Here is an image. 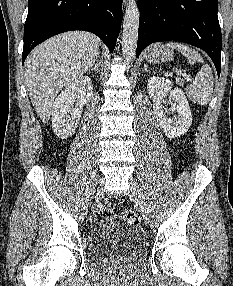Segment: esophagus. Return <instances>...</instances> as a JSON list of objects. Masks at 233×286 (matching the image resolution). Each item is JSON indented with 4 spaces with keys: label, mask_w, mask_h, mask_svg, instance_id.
I'll use <instances>...</instances> for the list:
<instances>
[{
    "label": "esophagus",
    "mask_w": 233,
    "mask_h": 286,
    "mask_svg": "<svg viewBox=\"0 0 233 286\" xmlns=\"http://www.w3.org/2000/svg\"><path fill=\"white\" fill-rule=\"evenodd\" d=\"M129 0H124V3H128Z\"/></svg>",
    "instance_id": "1"
}]
</instances>
